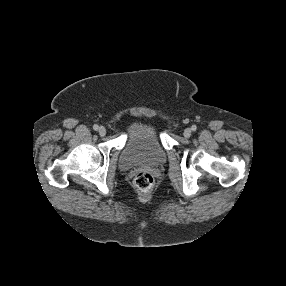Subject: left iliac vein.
I'll return each instance as SVG.
<instances>
[{"label": "left iliac vein", "instance_id": "1", "mask_svg": "<svg viewBox=\"0 0 286 286\" xmlns=\"http://www.w3.org/2000/svg\"><path fill=\"white\" fill-rule=\"evenodd\" d=\"M183 134L186 138H189L192 135V130L190 128H186Z\"/></svg>", "mask_w": 286, "mask_h": 286}]
</instances>
